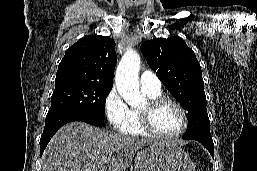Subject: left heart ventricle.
Instances as JSON below:
<instances>
[{"label": "left heart ventricle", "instance_id": "b2bd125f", "mask_svg": "<svg viewBox=\"0 0 257 171\" xmlns=\"http://www.w3.org/2000/svg\"><path fill=\"white\" fill-rule=\"evenodd\" d=\"M146 104L142 107L144 108ZM152 124L162 134H174L182 127L180 112L172 104L159 106L152 114Z\"/></svg>", "mask_w": 257, "mask_h": 171}]
</instances>
